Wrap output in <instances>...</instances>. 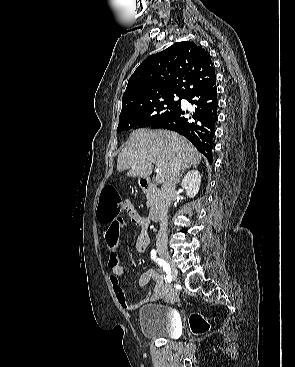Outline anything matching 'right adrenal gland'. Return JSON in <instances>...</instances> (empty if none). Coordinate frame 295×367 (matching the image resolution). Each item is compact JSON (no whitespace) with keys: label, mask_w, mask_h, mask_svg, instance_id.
Returning <instances> with one entry per match:
<instances>
[{"label":"right adrenal gland","mask_w":295,"mask_h":367,"mask_svg":"<svg viewBox=\"0 0 295 367\" xmlns=\"http://www.w3.org/2000/svg\"><path fill=\"white\" fill-rule=\"evenodd\" d=\"M193 168H196L197 166L196 165H194V166H192ZM190 167H188V168H185V169H183L182 170V172H181V174H180V176H179V178H178V183H180V181H181V178H182V176H183V174H184V172L187 170V169H189Z\"/></svg>","instance_id":"right-adrenal-gland-1"}]
</instances>
